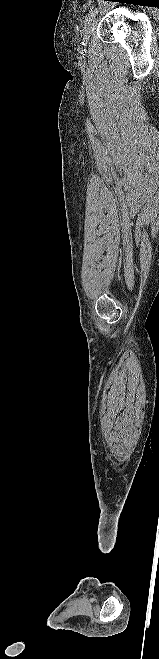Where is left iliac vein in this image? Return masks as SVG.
<instances>
[{
  "label": "left iliac vein",
  "mask_w": 159,
  "mask_h": 659,
  "mask_svg": "<svg viewBox=\"0 0 159 659\" xmlns=\"http://www.w3.org/2000/svg\"><path fill=\"white\" fill-rule=\"evenodd\" d=\"M98 23V18L96 15H94L91 19H89L84 27V40L87 42L93 33V31L96 28V25Z\"/></svg>",
  "instance_id": "1"
}]
</instances>
